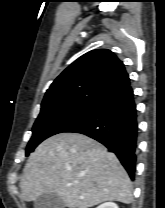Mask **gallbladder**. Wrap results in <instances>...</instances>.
Here are the masks:
<instances>
[{
	"instance_id": "bac80fb5",
	"label": "gallbladder",
	"mask_w": 165,
	"mask_h": 208,
	"mask_svg": "<svg viewBox=\"0 0 165 208\" xmlns=\"http://www.w3.org/2000/svg\"><path fill=\"white\" fill-rule=\"evenodd\" d=\"M34 208H65V203L55 193H44L35 200Z\"/></svg>"
}]
</instances>
